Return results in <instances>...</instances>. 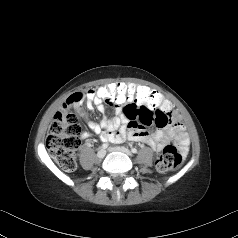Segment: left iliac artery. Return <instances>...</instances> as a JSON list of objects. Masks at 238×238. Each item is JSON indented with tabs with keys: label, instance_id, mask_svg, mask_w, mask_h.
<instances>
[{
	"label": "left iliac artery",
	"instance_id": "1",
	"mask_svg": "<svg viewBox=\"0 0 238 238\" xmlns=\"http://www.w3.org/2000/svg\"><path fill=\"white\" fill-rule=\"evenodd\" d=\"M131 151L136 154L137 153V149L136 148H132Z\"/></svg>",
	"mask_w": 238,
	"mask_h": 238
}]
</instances>
